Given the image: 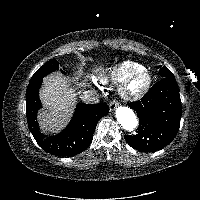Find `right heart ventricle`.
Instances as JSON below:
<instances>
[{
  "label": "right heart ventricle",
  "instance_id": "right-heart-ventricle-1",
  "mask_svg": "<svg viewBox=\"0 0 200 200\" xmlns=\"http://www.w3.org/2000/svg\"><path fill=\"white\" fill-rule=\"evenodd\" d=\"M142 69H144L143 65L126 60L102 72L98 81L102 84H120L130 75Z\"/></svg>",
  "mask_w": 200,
  "mask_h": 200
}]
</instances>
